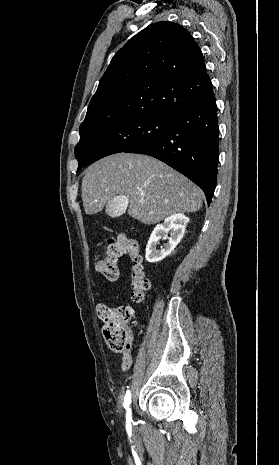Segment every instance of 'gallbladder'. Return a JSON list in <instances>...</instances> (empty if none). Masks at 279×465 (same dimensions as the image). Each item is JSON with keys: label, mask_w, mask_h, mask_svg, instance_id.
Returning <instances> with one entry per match:
<instances>
[{"label": "gallbladder", "mask_w": 279, "mask_h": 465, "mask_svg": "<svg viewBox=\"0 0 279 465\" xmlns=\"http://www.w3.org/2000/svg\"><path fill=\"white\" fill-rule=\"evenodd\" d=\"M127 208V199L124 196L113 197L106 206L107 214L116 218L121 216Z\"/></svg>", "instance_id": "bac80fb5"}]
</instances>
